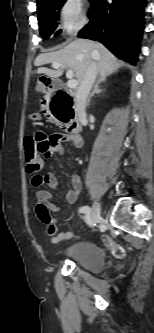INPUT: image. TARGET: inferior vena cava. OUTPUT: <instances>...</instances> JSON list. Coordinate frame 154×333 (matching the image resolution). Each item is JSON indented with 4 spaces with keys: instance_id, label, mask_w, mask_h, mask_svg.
Returning <instances> with one entry per match:
<instances>
[{
    "instance_id": "obj_1",
    "label": "inferior vena cava",
    "mask_w": 154,
    "mask_h": 333,
    "mask_svg": "<svg viewBox=\"0 0 154 333\" xmlns=\"http://www.w3.org/2000/svg\"><path fill=\"white\" fill-rule=\"evenodd\" d=\"M97 64L91 62L86 70L85 77L80 83L75 95V111L81 121L86 120V100L97 76Z\"/></svg>"
}]
</instances>
